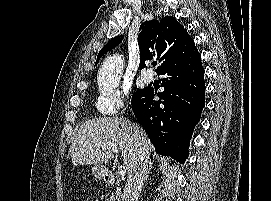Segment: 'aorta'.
<instances>
[{
	"label": "aorta",
	"instance_id": "762f6f07",
	"mask_svg": "<svg viewBox=\"0 0 271 201\" xmlns=\"http://www.w3.org/2000/svg\"><path fill=\"white\" fill-rule=\"evenodd\" d=\"M124 66V58L121 55H113L105 59L100 68V81L107 86L114 87L119 82Z\"/></svg>",
	"mask_w": 271,
	"mask_h": 201
}]
</instances>
